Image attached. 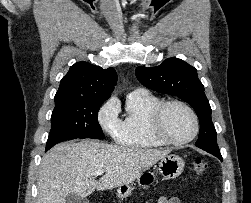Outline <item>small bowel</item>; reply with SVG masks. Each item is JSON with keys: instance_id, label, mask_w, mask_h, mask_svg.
<instances>
[{"instance_id": "small-bowel-1", "label": "small bowel", "mask_w": 251, "mask_h": 203, "mask_svg": "<svg viewBox=\"0 0 251 203\" xmlns=\"http://www.w3.org/2000/svg\"><path fill=\"white\" fill-rule=\"evenodd\" d=\"M157 203H181V201L175 197H160Z\"/></svg>"}]
</instances>
